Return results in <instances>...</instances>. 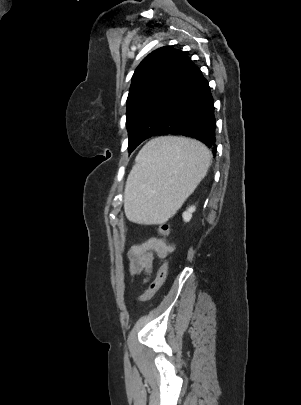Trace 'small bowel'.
Here are the masks:
<instances>
[{
	"label": "small bowel",
	"instance_id": "1",
	"mask_svg": "<svg viewBox=\"0 0 301 405\" xmlns=\"http://www.w3.org/2000/svg\"><path fill=\"white\" fill-rule=\"evenodd\" d=\"M172 251L173 245L160 237H150L131 246L128 251L131 276L144 273L146 282L153 271L155 256L165 258Z\"/></svg>",
	"mask_w": 301,
	"mask_h": 405
}]
</instances>
